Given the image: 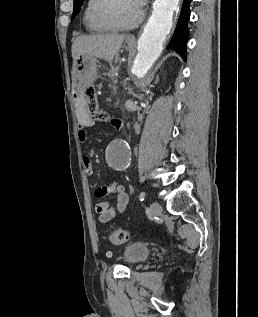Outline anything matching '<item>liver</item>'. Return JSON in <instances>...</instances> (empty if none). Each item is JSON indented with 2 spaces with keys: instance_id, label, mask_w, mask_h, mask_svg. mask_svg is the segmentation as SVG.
<instances>
[{
  "instance_id": "liver-1",
  "label": "liver",
  "mask_w": 258,
  "mask_h": 317,
  "mask_svg": "<svg viewBox=\"0 0 258 317\" xmlns=\"http://www.w3.org/2000/svg\"><path fill=\"white\" fill-rule=\"evenodd\" d=\"M129 34H116V32H92L76 36L72 44L73 66L78 54H91L96 58H104L112 64V60L122 46L123 40Z\"/></svg>"
}]
</instances>
